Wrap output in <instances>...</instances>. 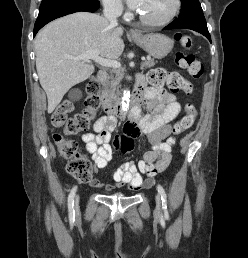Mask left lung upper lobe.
Here are the masks:
<instances>
[{"label":"left lung upper lobe","instance_id":"left-lung-upper-lobe-1","mask_svg":"<svg viewBox=\"0 0 248 258\" xmlns=\"http://www.w3.org/2000/svg\"><path fill=\"white\" fill-rule=\"evenodd\" d=\"M182 11L177 20H187L195 16L203 15V10L199 0H181Z\"/></svg>","mask_w":248,"mask_h":258}]
</instances>
